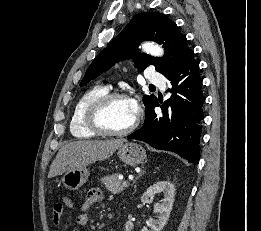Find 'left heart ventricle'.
<instances>
[{
    "label": "left heart ventricle",
    "instance_id": "left-heart-ventricle-1",
    "mask_svg": "<svg viewBox=\"0 0 261 231\" xmlns=\"http://www.w3.org/2000/svg\"><path fill=\"white\" fill-rule=\"evenodd\" d=\"M135 115L130 100L116 99L104 110L102 121L112 130H124L132 124Z\"/></svg>",
    "mask_w": 261,
    "mask_h": 231
}]
</instances>
